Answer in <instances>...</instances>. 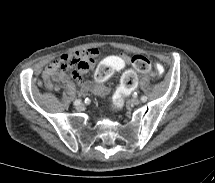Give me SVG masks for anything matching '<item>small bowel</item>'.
Here are the masks:
<instances>
[{
  "mask_svg": "<svg viewBox=\"0 0 215 183\" xmlns=\"http://www.w3.org/2000/svg\"><path fill=\"white\" fill-rule=\"evenodd\" d=\"M98 56L99 50L96 47H90L79 52L69 53L62 56L80 62L79 66H75L72 75L77 80L81 87V92L84 94L93 91L98 96H104L108 93V88L103 81H97L93 86L89 82L83 81L81 78L82 74L87 73L96 65ZM60 59L53 61L43 72L44 85L48 90L58 89V86L55 83L57 80L62 82H67L69 80L67 73L59 67ZM129 61L130 57L125 54L119 56L111 55L106 60V67L111 72H118L122 69L123 65Z\"/></svg>",
  "mask_w": 215,
  "mask_h": 183,
  "instance_id": "small-bowel-1",
  "label": "small bowel"
}]
</instances>
